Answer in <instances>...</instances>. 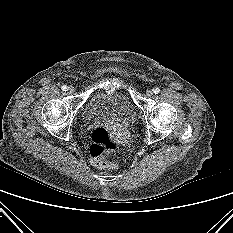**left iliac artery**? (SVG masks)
Here are the masks:
<instances>
[{
    "mask_svg": "<svg viewBox=\"0 0 233 233\" xmlns=\"http://www.w3.org/2000/svg\"><path fill=\"white\" fill-rule=\"evenodd\" d=\"M153 91H154L155 94H158L160 92V89L158 87H156V88H154Z\"/></svg>",
    "mask_w": 233,
    "mask_h": 233,
    "instance_id": "left-iliac-artery-1",
    "label": "left iliac artery"
}]
</instances>
